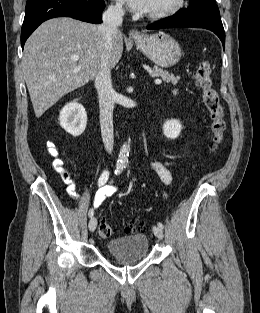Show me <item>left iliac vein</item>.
<instances>
[{
	"label": "left iliac vein",
	"instance_id": "4c4485c4",
	"mask_svg": "<svg viewBox=\"0 0 260 313\" xmlns=\"http://www.w3.org/2000/svg\"><path fill=\"white\" fill-rule=\"evenodd\" d=\"M153 232L158 239L163 238V230L159 226H154Z\"/></svg>",
	"mask_w": 260,
	"mask_h": 313
}]
</instances>
